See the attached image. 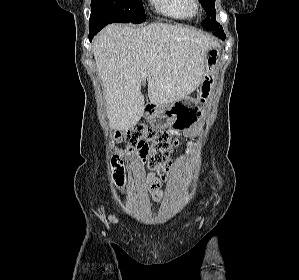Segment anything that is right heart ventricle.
Returning a JSON list of instances; mask_svg holds the SVG:
<instances>
[{
  "label": "right heart ventricle",
  "mask_w": 299,
  "mask_h": 280,
  "mask_svg": "<svg viewBox=\"0 0 299 280\" xmlns=\"http://www.w3.org/2000/svg\"><path fill=\"white\" fill-rule=\"evenodd\" d=\"M156 10L176 20H191L196 16L195 0H151Z\"/></svg>",
  "instance_id": "obj_1"
}]
</instances>
